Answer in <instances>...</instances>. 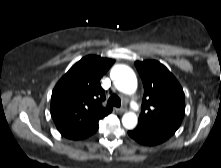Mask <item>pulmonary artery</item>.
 I'll use <instances>...</instances> for the list:
<instances>
[{"label":"pulmonary artery","instance_id":"1","mask_svg":"<svg viewBox=\"0 0 221 168\" xmlns=\"http://www.w3.org/2000/svg\"><path fill=\"white\" fill-rule=\"evenodd\" d=\"M131 107L134 109V110H137L138 109V106L135 102H131Z\"/></svg>","mask_w":221,"mask_h":168}]
</instances>
